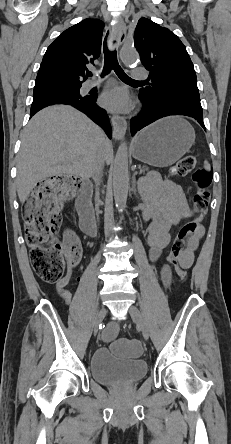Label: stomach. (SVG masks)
<instances>
[{
	"label": "stomach",
	"instance_id": "0dacf381",
	"mask_svg": "<svg viewBox=\"0 0 231 444\" xmlns=\"http://www.w3.org/2000/svg\"><path fill=\"white\" fill-rule=\"evenodd\" d=\"M195 142L193 127L180 116H169L143 129L132 141L133 156L154 167H168Z\"/></svg>",
	"mask_w": 231,
	"mask_h": 444
}]
</instances>
